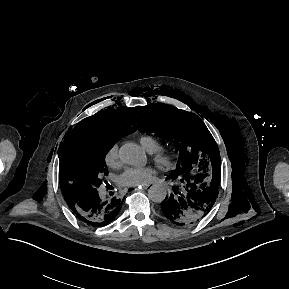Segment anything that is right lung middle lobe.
Returning a JSON list of instances; mask_svg holds the SVG:
<instances>
[{"label":"right lung middle lobe","instance_id":"right-lung-middle-lobe-1","mask_svg":"<svg viewBox=\"0 0 289 289\" xmlns=\"http://www.w3.org/2000/svg\"><path fill=\"white\" fill-rule=\"evenodd\" d=\"M121 138L109 133L82 141L66 158L62 188L76 197L97 191L101 175L107 174L105 156Z\"/></svg>","mask_w":289,"mask_h":289}]
</instances>
